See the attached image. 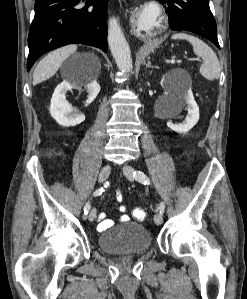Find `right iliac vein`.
<instances>
[{
    "mask_svg": "<svg viewBox=\"0 0 247 299\" xmlns=\"http://www.w3.org/2000/svg\"><path fill=\"white\" fill-rule=\"evenodd\" d=\"M110 171H111V166L110 165H105L101 171H100V174H99V182L100 183H103L106 181V179L108 178L109 174H110ZM96 215H97V211L96 209H92L89 213V221L93 222L96 218Z\"/></svg>",
    "mask_w": 247,
    "mask_h": 299,
    "instance_id": "63e3f726",
    "label": "right iliac vein"
}]
</instances>
